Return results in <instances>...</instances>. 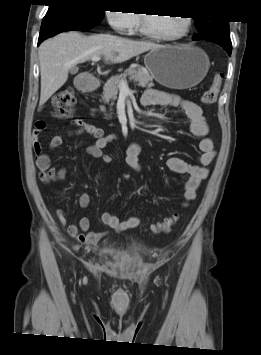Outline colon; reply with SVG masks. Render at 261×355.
Returning <instances> with one entry per match:
<instances>
[{"label":"colon","instance_id":"5ec220e1","mask_svg":"<svg viewBox=\"0 0 261 355\" xmlns=\"http://www.w3.org/2000/svg\"><path fill=\"white\" fill-rule=\"evenodd\" d=\"M222 81L223 73H216L210 87L202 95L201 101L204 105L211 106L216 102L220 93ZM75 102L74 92L70 87L62 88L52 99L55 113L62 119H69L72 117ZM178 219V214H173L172 216L165 218L162 222L151 225V230L154 233L169 232L177 223Z\"/></svg>","mask_w":261,"mask_h":355}]
</instances>
